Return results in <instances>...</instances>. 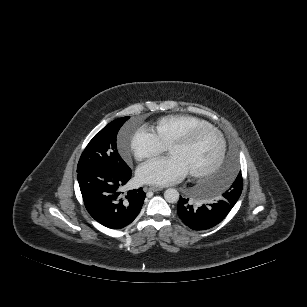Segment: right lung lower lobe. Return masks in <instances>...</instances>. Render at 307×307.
<instances>
[{
  "label": "right lung lower lobe",
  "mask_w": 307,
  "mask_h": 307,
  "mask_svg": "<svg viewBox=\"0 0 307 307\" xmlns=\"http://www.w3.org/2000/svg\"><path fill=\"white\" fill-rule=\"evenodd\" d=\"M131 169L115 173L102 169L79 172L77 179L85 207L100 224L121 229L130 224L138 215L145 199L142 189L130 190L126 195L121 186L131 178Z\"/></svg>",
  "instance_id": "right-lung-lower-lobe-1"
}]
</instances>
